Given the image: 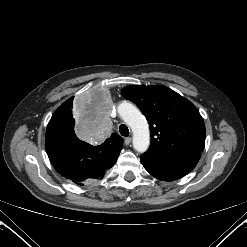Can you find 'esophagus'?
I'll return each mask as SVG.
<instances>
[{
    "instance_id": "1",
    "label": "esophagus",
    "mask_w": 247,
    "mask_h": 247,
    "mask_svg": "<svg viewBox=\"0 0 247 247\" xmlns=\"http://www.w3.org/2000/svg\"><path fill=\"white\" fill-rule=\"evenodd\" d=\"M132 139L130 137H127L124 139L125 145H129L131 143Z\"/></svg>"
}]
</instances>
